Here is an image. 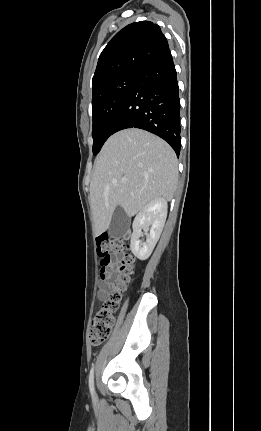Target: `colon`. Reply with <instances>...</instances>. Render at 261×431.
Masks as SVG:
<instances>
[{"mask_svg":"<svg viewBox=\"0 0 261 431\" xmlns=\"http://www.w3.org/2000/svg\"><path fill=\"white\" fill-rule=\"evenodd\" d=\"M97 252L102 269L114 266L118 277L113 280L108 298L92 319L88 337L93 346L102 344L113 328L114 314L133 274L134 262L133 257L127 252V245L122 240L108 235L103 234L97 238ZM121 253L123 258L118 261L117 256Z\"/></svg>","mask_w":261,"mask_h":431,"instance_id":"colon-1","label":"colon"}]
</instances>
